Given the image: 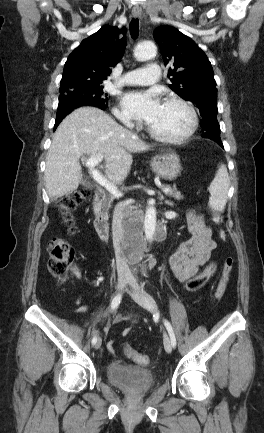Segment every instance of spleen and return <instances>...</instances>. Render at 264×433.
I'll use <instances>...</instances> for the list:
<instances>
[{
	"label": "spleen",
	"mask_w": 264,
	"mask_h": 433,
	"mask_svg": "<svg viewBox=\"0 0 264 433\" xmlns=\"http://www.w3.org/2000/svg\"><path fill=\"white\" fill-rule=\"evenodd\" d=\"M230 180L227 168L224 164L220 165L217 174L210 184L209 205L218 212H223L227 203Z\"/></svg>",
	"instance_id": "1"
}]
</instances>
